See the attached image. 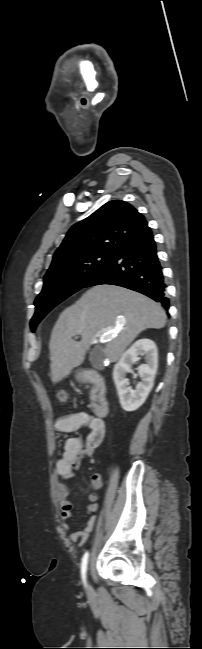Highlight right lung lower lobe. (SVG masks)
I'll use <instances>...</instances> for the list:
<instances>
[{
    "instance_id": "1",
    "label": "right lung lower lobe",
    "mask_w": 202,
    "mask_h": 649,
    "mask_svg": "<svg viewBox=\"0 0 202 649\" xmlns=\"http://www.w3.org/2000/svg\"><path fill=\"white\" fill-rule=\"evenodd\" d=\"M112 284L140 292L169 308L152 231L122 246L85 285Z\"/></svg>"
}]
</instances>
